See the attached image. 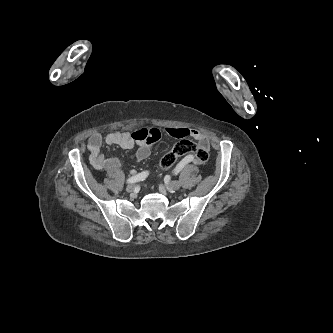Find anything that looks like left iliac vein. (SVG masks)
I'll use <instances>...</instances> for the list:
<instances>
[{
    "mask_svg": "<svg viewBox=\"0 0 333 333\" xmlns=\"http://www.w3.org/2000/svg\"><path fill=\"white\" fill-rule=\"evenodd\" d=\"M181 187V183L179 181H172L169 183V188L171 190H178Z\"/></svg>",
    "mask_w": 333,
    "mask_h": 333,
    "instance_id": "1",
    "label": "left iliac vein"
}]
</instances>
